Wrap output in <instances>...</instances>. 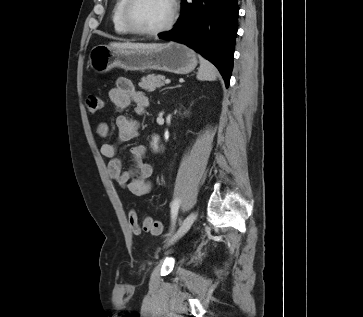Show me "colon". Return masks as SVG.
I'll list each match as a JSON object with an SVG mask.
<instances>
[{"mask_svg": "<svg viewBox=\"0 0 363 317\" xmlns=\"http://www.w3.org/2000/svg\"><path fill=\"white\" fill-rule=\"evenodd\" d=\"M86 106L90 114H95L102 108V100L96 95H89L86 98ZM128 222L133 233L137 234L141 230L151 233L153 235H159L163 231L162 222L155 220L151 217H145L142 220V224L139 223L138 214L135 210H131L128 214Z\"/></svg>", "mask_w": 363, "mask_h": 317, "instance_id": "5ec220e1", "label": "colon"}]
</instances>
